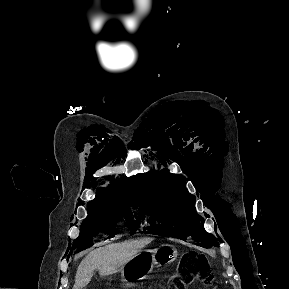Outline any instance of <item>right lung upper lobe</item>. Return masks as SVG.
<instances>
[{
	"instance_id": "right-lung-upper-lobe-1",
	"label": "right lung upper lobe",
	"mask_w": 289,
	"mask_h": 289,
	"mask_svg": "<svg viewBox=\"0 0 289 289\" xmlns=\"http://www.w3.org/2000/svg\"><path fill=\"white\" fill-rule=\"evenodd\" d=\"M121 183H118L115 179L111 180V184L108 188H99L95 200L91 201L88 205L97 204H114L129 202L136 205L135 192L131 189L130 183L120 179Z\"/></svg>"
}]
</instances>
